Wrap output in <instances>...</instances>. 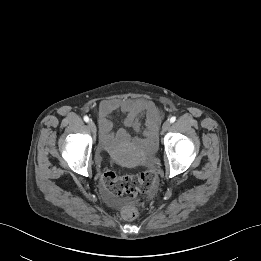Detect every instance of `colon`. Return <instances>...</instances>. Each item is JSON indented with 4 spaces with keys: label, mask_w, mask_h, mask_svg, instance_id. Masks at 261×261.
<instances>
[{
    "label": "colon",
    "mask_w": 261,
    "mask_h": 261,
    "mask_svg": "<svg viewBox=\"0 0 261 261\" xmlns=\"http://www.w3.org/2000/svg\"><path fill=\"white\" fill-rule=\"evenodd\" d=\"M102 183L105 189L114 196H136L140 193L151 192L156 185V173L148 169L137 175L119 176L109 167L102 174ZM137 204L129 201L121 208V216L125 220H133L137 217Z\"/></svg>",
    "instance_id": "obj_1"
}]
</instances>
